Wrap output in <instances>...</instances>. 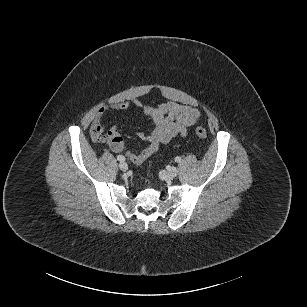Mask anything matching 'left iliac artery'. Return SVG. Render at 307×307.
I'll use <instances>...</instances> for the list:
<instances>
[{
	"instance_id": "1",
	"label": "left iliac artery",
	"mask_w": 307,
	"mask_h": 307,
	"mask_svg": "<svg viewBox=\"0 0 307 307\" xmlns=\"http://www.w3.org/2000/svg\"><path fill=\"white\" fill-rule=\"evenodd\" d=\"M175 162H177V163L181 162V157L177 156V157L175 158Z\"/></svg>"
}]
</instances>
